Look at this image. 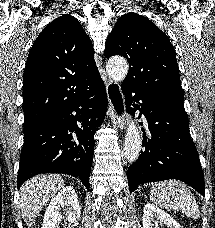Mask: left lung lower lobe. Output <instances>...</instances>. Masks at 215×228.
<instances>
[{
  "label": "left lung lower lobe",
  "mask_w": 215,
  "mask_h": 228,
  "mask_svg": "<svg viewBox=\"0 0 215 228\" xmlns=\"http://www.w3.org/2000/svg\"><path fill=\"white\" fill-rule=\"evenodd\" d=\"M125 102L141 107L148 122L151 138L143 136L145 149L128 168V185L132 192L138 185L167 179L181 180L205 195L204 176L199 156L189 133L184 98L146 95L121 85ZM135 93L132 98L131 94Z\"/></svg>",
  "instance_id": "0a47b994"
}]
</instances>
